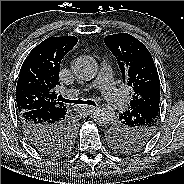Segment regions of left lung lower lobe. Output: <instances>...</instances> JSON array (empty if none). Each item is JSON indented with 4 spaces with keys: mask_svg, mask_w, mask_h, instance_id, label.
I'll return each instance as SVG.
<instances>
[{
    "mask_svg": "<svg viewBox=\"0 0 184 184\" xmlns=\"http://www.w3.org/2000/svg\"><path fill=\"white\" fill-rule=\"evenodd\" d=\"M158 106H159V99H154V100L150 101V103H147L146 105H144L141 108H142V110H148L151 107L157 108ZM142 110H140L141 111L140 115H142V114L144 115L145 114V112H143ZM137 116H139V115H137Z\"/></svg>",
    "mask_w": 184,
    "mask_h": 184,
    "instance_id": "0a47b994",
    "label": "left lung lower lobe"
}]
</instances>
